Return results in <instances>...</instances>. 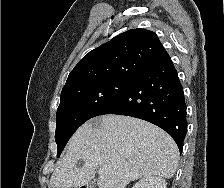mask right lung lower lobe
I'll return each instance as SVG.
<instances>
[{
	"mask_svg": "<svg viewBox=\"0 0 224 188\" xmlns=\"http://www.w3.org/2000/svg\"><path fill=\"white\" fill-rule=\"evenodd\" d=\"M186 108L183 87L169 57L134 77L129 89L100 115L151 122L170 134L181 152L187 132Z\"/></svg>",
	"mask_w": 224,
	"mask_h": 188,
	"instance_id": "98d812e1",
	"label": "right lung lower lobe"
}]
</instances>
